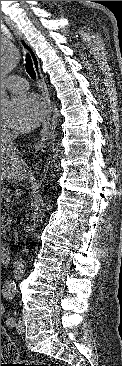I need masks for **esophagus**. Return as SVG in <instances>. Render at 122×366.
<instances>
[{"label":"esophagus","instance_id":"obj_1","mask_svg":"<svg viewBox=\"0 0 122 366\" xmlns=\"http://www.w3.org/2000/svg\"><path fill=\"white\" fill-rule=\"evenodd\" d=\"M6 23H8L10 25L11 30L13 31L15 37L18 39L21 47L23 48V50L29 54V56L31 57V60L33 62V66H34V70L36 73V77H37V81L38 84L41 88L42 91V95L44 97V102H45V119L42 125V129L40 132V144L39 146H45L46 142L49 140L51 132H50V128H51V121H52V104H51V100H50V94L48 91V88L46 86V83L44 81L41 69H40V63H39V59L34 51V49L30 46V44L27 42V40L25 39V37L21 34V32L14 26V24L7 18H5Z\"/></svg>","mask_w":122,"mask_h":366}]
</instances>
